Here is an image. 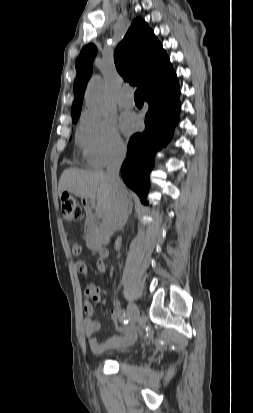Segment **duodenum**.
<instances>
[{"instance_id": "duodenum-1", "label": "duodenum", "mask_w": 253, "mask_h": 413, "mask_svg": "<svg viewBox=\"0 0 253 413\" xmlns=\"http://www.w3.org/2000/svg\"><path fill=\"white\" fill-rule=\"evenodd\" d=\"M83 206L86 213L91 217L93 215L94 205L90 201L84 200ZM86 237L92 249L98 254L106 255L108 253V250L102 245L100 229L94 220H90L87 226Z\"/></svg>"}]
</instances>
